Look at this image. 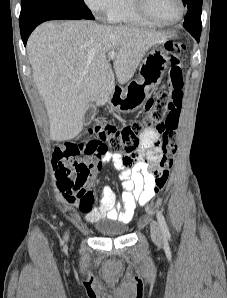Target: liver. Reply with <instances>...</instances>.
<instances>
[{
    "instance_id": "6515ba94",
    "label": "liver",
    "mask_w": 227,
    "mask_h": 298,
    "mask_svg": "<svg viewBox=\"0 0 227 298\" xmlns=\"http://www.w3.org/2000/svg\"><path fill=\"white\" fill-rule=\"evenodd\" d=\"M167 33L90 20L45 22L27 42L33 79L43 98L50 138L66 141L83 129L90 103L103 106L115 88L134 75L146 52L165 42ZM114 51L113 69L106 56Z\"/></svg>"
}]
</instances>
